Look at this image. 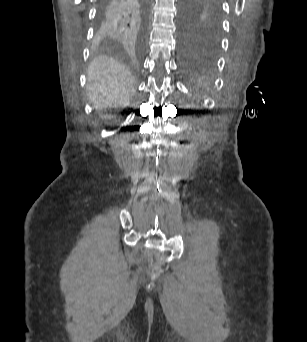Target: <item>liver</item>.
Wrapping results in <instances>:
<instances>
[{
  "mask_svg": "<svg viewBox=\"0 0 307 342\" xmlns=\"http://www.w3.org/2000/svg\"><path fill=\"white\" fill-rule=\"evenodd\" d=\"M87 90L89 100L96 110L129 106L130 98L136 92L135 78L120 62L100 56L88 68Z\"/></svg>",
  "mask_w": 307,
  "mask_h": 342,
  "instance_id": "liver-1",
  "label": "liver"
}]
</instances>
